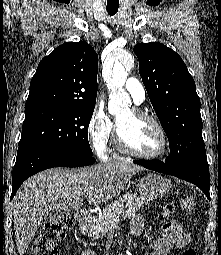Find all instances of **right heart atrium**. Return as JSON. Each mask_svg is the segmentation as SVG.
<instances>
[{"instance_id": "obj_1", "label": "right heart atrium", "mask_w": 221, "mask_h": 255, "mask_svg": "<svg viewBox=\"0 0 221 255\" xmlns=\"http://www.w3.org/2000/svg\"><path fill=\"white\" fill-rule=\"evenodd\" d=\"M113 131L114 125L109 115L102 107H95L87 124V134L93 151L101 158L107 153Z\"/></svg>"}]
</instances>
